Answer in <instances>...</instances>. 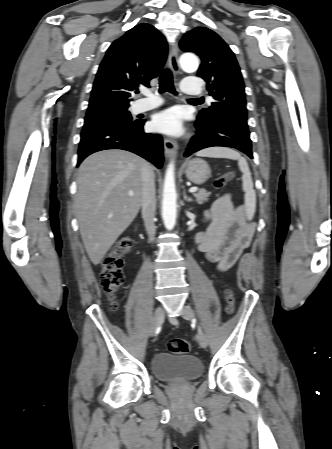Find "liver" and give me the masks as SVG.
<instances>
[{"instance_id": "obj_1", "label": "liver", "mask_w": 332, "mask_h": 449, "mask_svg": "<svg viewBox=\"0 0 332 449\" xmlns=\"http://www.w3.org/2000/svg\"><path fill=\"white\" fill-rule=\"evenodd\" d=\"M147 164L123 150L87 157L77 177L75 212L87 254L97 265L137 216L142 205L141 169ZM133 192V196H129Z\"/></svg>"}]
</instances>
